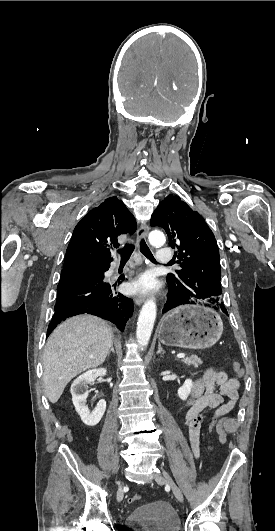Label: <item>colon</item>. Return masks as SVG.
I'll return each mask as SVG.
<instances>
[{"label":"colon","mask_w":275,"mask_h":531,"mask_svg":"<svg viewBox=\"0 0 275 531\" xmlns=\"http://www.w3.org/2000/svg\"><path fill=\"white\" fill-rule=\"evenodd\" d=\"M233 368H234L235 373L238 376H242L243 375V372H244L243 368L238 362H234L233 363ZM217 423H218L217 418H215V417L210 418V420H209V422L207 424V428H206V435L208 437H211L215 433V430L218 427ZM139 499H140V495L135 494L134 496H132L129 499V503H134V502L138 501Z\"/></svg>","instance_id":"1"}]
</instances>
